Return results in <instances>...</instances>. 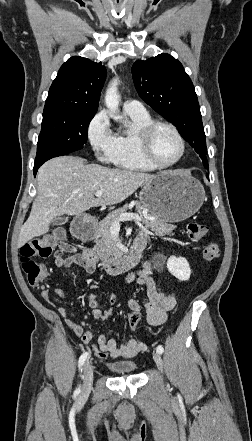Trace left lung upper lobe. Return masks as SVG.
Here are the masks:
<instances>
[{"label":"left lung upper lobe","mask_w":252,"mask_h":441,"mask_svg":"<svg viewBox=\"0 0 252 441\" xmlns=\"http://www.w3.org/2000/svg\"><path fill=\"white\" fill-rule=\"evenodd\" d=\"M132 74L139 96L179 129L181 136L208 168L200 107L194 86L182 64L163 53L146 61H136Z\"/></svg>","instance_id":"1"}]
</instances>
